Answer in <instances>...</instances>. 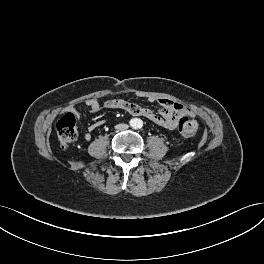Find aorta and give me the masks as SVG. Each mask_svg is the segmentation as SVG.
Returning a JSON list of instances; mask_svg holds the SVG:
<instances>
[{
	"label": "aorta",
	"instance_id": "762f6f07",
	"mask_svg": "<svg viewBox=\"0 0 264 264\" xmlns=\"http://www.w3.org/2000/svg\"><path fill=\"white\" fill-rule=\"evenodd\" d=\"M130 125L134 129H140L143 126V121L140 118H133L130 120Z\"/></svg>",
	"mask_w": 264,
	"mask_h": 264
}]
</instances>
